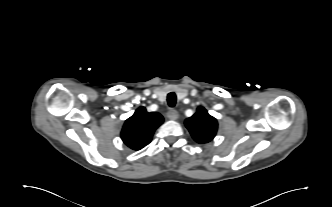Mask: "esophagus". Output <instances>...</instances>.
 Masks as SVG:
<instances>
[{
    "label": "esophagus",
    "mask_w": 332,
    "mask_h": 207,
    "mask_svg": "<svg viewBox=\"0 0 332 207\" xmlns=\"http://www.w3.org/2000/svg\"><path fill=\"white\" fill-rule=\"evenodd\" d=\"M178 116V112L175 109H171L167 112V117L171 120H176Z\"/></svg>",
    "instance_id": "esophagus-1"
}]
</instances>
